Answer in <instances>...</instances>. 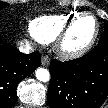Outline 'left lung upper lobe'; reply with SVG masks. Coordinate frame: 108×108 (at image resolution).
<instances>
[{"label":"left lung upper lobe","mask_w":108,"mask_h":108,"mask_svg":"<svg viewBox=\"0 0 108 108\" xmlns=\"http://www.w3.org/2000/svg\"><path fill=\"white\" fill-rule=\"evenodd\" d=\"M104 23H105V27H104V33L100 39L99 42H105V43H108V21L104 20Z\"/></svg>","instance_id":"obj_1"}]
</instances>
